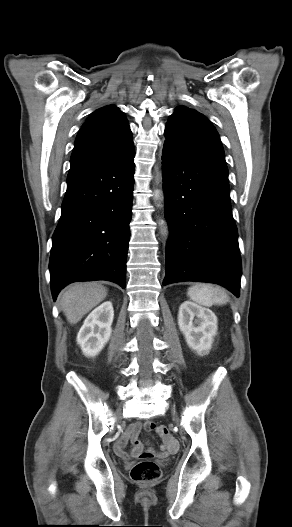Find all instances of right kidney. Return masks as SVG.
Returning <instances> with one entry per match:
<instances>
[{
  "mask_svg": "<svg viewBox=\"0 0 292 527\" xmlns=\"http://www.w3.org/2000/svg\"><path fill=\"white\" fill-rule=\"evenodd\" d=\"M114 311L110 301L102 303L85 319L77 335V343L85 356H96L109 341Z\"/></svg>",
  "mask_w": 292,
  "mask_h": 527,
  "instance_id": "ca27d5eb",
  "label": "right kidney"
}]
</instances>
